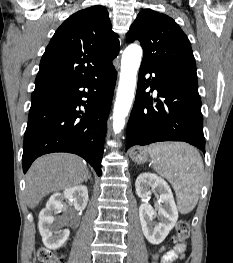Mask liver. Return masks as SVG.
Returning a JSON list of instances; mask_svg holds the SVG:
<instances>
[{
  "instance_id": "6515ba94",
  "label": "liver",
  "mask_w": 233,
  "mask_h": 263,
  "mask_svg": "<svg viewBox=\"0 0 233 263\" xmlns=\"http://www.w3.org/2000/svg\"><path fill=\"white\" fill-rule=\"evenodd\" d=\"M90 173L81 158L55 153L35 160L26 175V201L30 208L51 192L74 187L88 180Z\"/></svg>"
}]
</instances>
